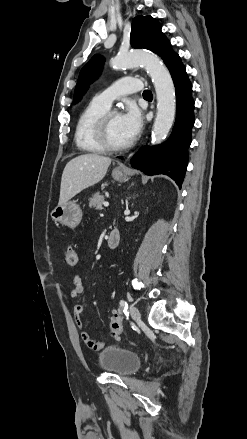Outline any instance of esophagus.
Here are the masks:
<instances>
[{
  "instance_id": "1",
  "label": "esophagus",
  "mask_w": 247,
  "mask_h": 439,
  "mask_svg": "<svg viewBox=\"0 0 247 439\" xmlns=\"http://www.w3.org/2000/svg\"><path fill=\"white\" fill-rule=\"evenodd\" d=\"M119 168H120V169H125L126 167H125L124 165L121 164V165H119Z\"/></svg>"
}]
</instances>
